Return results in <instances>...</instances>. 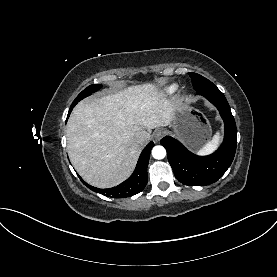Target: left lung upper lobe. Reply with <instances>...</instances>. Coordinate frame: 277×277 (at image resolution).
I'll use <instances>...</instances> for the list:
<instances>
[{"mask_svg":"<svg viewBox=\"0 0 277 277\" xmlns=\"http://www.w3.org/2000/svg\"><path fill=\"white\" fill-rule=\"evenodd\" d=\"M188 75L191 77L193 87L197 92L201 90L217 88L211 81L199 74L188 73Z\"/></svg>","mask_w":277,"mask_h":277,"instance_id":"1","label":"left lung upper lobe"}]
</instances>
